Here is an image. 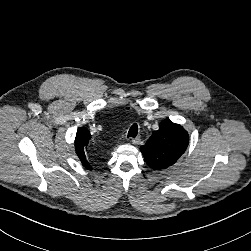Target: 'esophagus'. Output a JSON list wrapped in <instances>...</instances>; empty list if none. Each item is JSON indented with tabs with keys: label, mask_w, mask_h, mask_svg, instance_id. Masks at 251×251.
Returning a JSON list of instances; mask_svg holds the SVG:
<instances>
[{
	"label": "esophagus",
	"mask_w": 251,
	"mask_h": 251,
	"mask_svg": "<svg viewBox=\"0 0 251 251\" xmlns=\"http://www.w3.org/2000/svg\"><path fill=\"white\" fill-rule=\"evenodd\" d=\"M132 143H133L134 145H138V144L140 143V138H139V137L133 138V139H132Z\"/></svg>",
	"instance_id": "1"
}]
</instances>
